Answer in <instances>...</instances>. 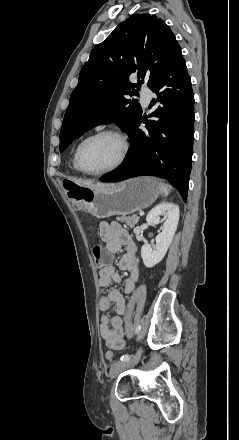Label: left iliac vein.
I'll list each match as a JSON object with an SVG mask.
<instances>
[{"label": "left iliac vein", "instance_id": "left-iliac-vein-1", "mask_svg": "<svg viewBox=\"0 0 239 440\" xmlns=\"http://www.w3.org/2000/svg\"><path fill=\"white\" fill-rule=\"evenodd\" d=\"M141 354H142V350L140 348L138 349L137 353L131 360L115 362L110 368L109 377L113 379L117 377L122 371L136 365L141 357Z\"/></svg>", "mask_w": 239, "mask_h": 440}]
</instances>
